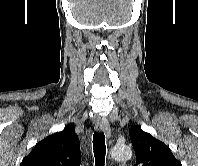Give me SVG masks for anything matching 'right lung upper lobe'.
<instances>
[{"label":"right lung upper lobe","instance_id":"cb5924a9","mask_svg":"<svg viewBox=\"0 0 198 166\" xmlns=\"http://www.w3.org/2000/svg\"><path fill=\"white\" fill-rule=\"evenodd\" d=\"M79 138L68 125L38 142L20 166H80Z\"/></svg>","mask_w":198,"mask_h":166}]
</instances>
